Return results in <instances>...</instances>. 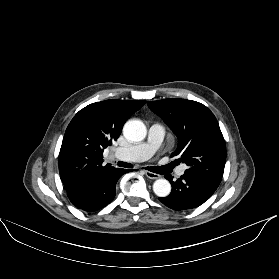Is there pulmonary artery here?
Instances as JSON below:
<instances>
[{"mask_svg": "<svg viewBox=\"0 0 279 279\" xmlns=\"http://www.w3.org/2000/svg\"><path fill=\"white\" fill-rule=\"evenodd\" d=\"M164 136V127L160 123H154L149 127L148 137L145 142L134 144L127 148H116L115 156L117 158L141 162L149 159L159 145L162 142ZM186 169L185 165H182L177 170V175L181 176L184 174Z\"/></svg>", "mask_w": 279, "mask_h": 279, "instance_id": "e3ab8cb5", "label": "pulmonary artery"}]
</instances>
